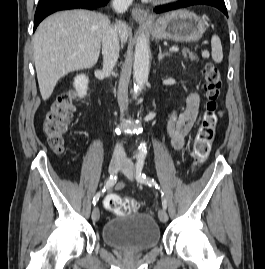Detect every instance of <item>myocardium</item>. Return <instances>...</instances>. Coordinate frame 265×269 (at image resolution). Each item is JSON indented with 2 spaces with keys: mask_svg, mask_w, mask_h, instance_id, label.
Instances as JSON below:
<instances>
[{
  "mask_svg": "<svg viewBox=\"0 0 265 269\" xmlns=\"http://www.w3.org/2000/svg\"><path fill=\"white\" fill-rule=\"evenodd\" d=\"M154 2L157 3H167V2H171V1H175V0H153Z\"/></svg>",
  "mask_w": 265,
  "mask_h": 269,
  "instance_id": "myocardium-1",
  "label": "myocardium"
}]
</instances>
